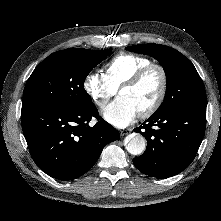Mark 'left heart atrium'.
<instances>
[{"mask_svg": "<svg viewBox=\"0 0 221 221\" xmlns=\"http://www.w3.org/2000/svg\"><path fill=\"white\" fill-rule=\"evenodd\" d=\"M137 115L138 111L134 104L124 96L116 98L103 111L104 119L118 128H124L132 123Z\"/></svg>", "mask_w": 221, "mask_h": 221, "instance_id": "39dd6f15", "label": "left heart atrium"}]
</instances>
